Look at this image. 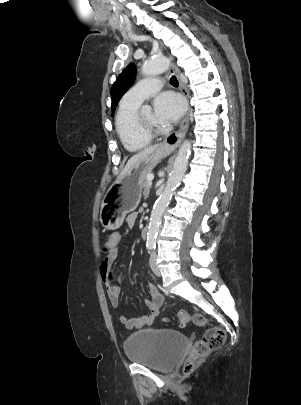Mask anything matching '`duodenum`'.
<instances>
[{
  "label": "duodenum",
  "instance_id": "410a0bca",
  "mask_svg": "<svg viewBox=\"0 0 301 405\" xmlns=\"http://www.w3.org/2000/svg\"><path fill=\"white\" fill-rule=\"evenodd\" d=\"M148 232H149V228H148V226H144L143 228H142V230H141V237H142V239H147V237H148Z\"/></svg>",
  "mask_w": 301,
  "mask_h": 405
}]
</instances>
